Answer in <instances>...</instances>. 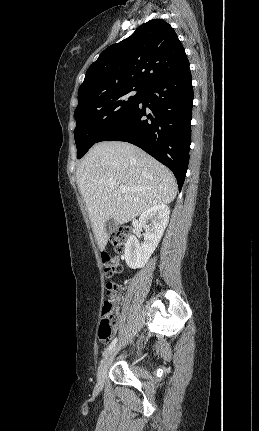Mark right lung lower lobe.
<instances>
[{
    "instance_id": "right-lung-lower-lobe-1",
    "label": "right lung lower lobe",
    "mask_w": 259,
    "mask_h": 431,
    "mask_svg": "<svg viewBox=\"0 0 259 431\" xmlns=\"http://www.w3.org/2000/svg\"><path fill=\"white\" fill-rule=\"evenodd\" d=\"M192 77L189 65L145 89L139 103L100 141H125L152 155L174 173L181 190L189 163Z\"/></svg>"
}]
</instances>
